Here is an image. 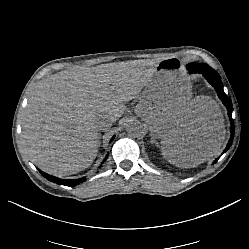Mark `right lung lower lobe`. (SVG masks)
Returning a JSON list of instances; mask_svg holds the SVG:
<instances>
[{"mask_svg":"<svg viewBox=\"0 0 249 249\" xmlns=\"http://www.w3.org/2000/svg\"><path fill=\"white\" fill-rule=\"evenodd\" d=\"M113 139H114V136L112 137L111 140H113ZM107 157H108V155L106 156V158L104 159V161H106ZM102 163H103V162H102ZM40 172H41V174H42L46 179H48L49 181L54 182V183H57V184H61V185L70 186V187H73V186H75V185H77V184H79V183H81V182H83V181L86 180V178H84V177L81 178V179H75V180L60 179V178L51 176V175H49V174H47V173H45V172H42V171H40Z\"/></svg>","mask_w":249,"mask_h":249,"instance_id":"obj_1","label":"right lung lower lobe"}]
</instances>
